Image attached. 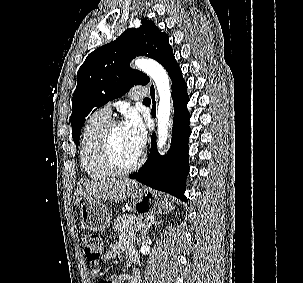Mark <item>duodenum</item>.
<instances>
[{
  "mask_svg": "<svg viewBox=\"0 0 303 283\" xmlns=\"http://www.w3.org/2000/svg\"><path fill=\"white\" fill-rule=\"evenodd\" d=\"M139 281H138V279L136 278V277H134L133 279H132V283H138Z\"/></svg>",
  "mask_w": 303,
  "mask_h": 283,
  "instance_id": "1",
  "label": "duodenum"
}]
</instances>
